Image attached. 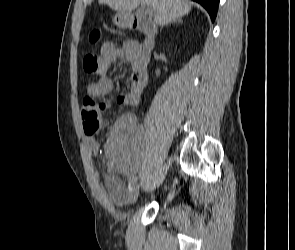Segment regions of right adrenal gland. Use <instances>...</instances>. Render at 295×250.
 <instances>
[{
	"label": "right adrenal gland",
	"instance_id": "1",
	"mask_svg": "<svg viewBox=\"0 0 295 250\" xmlns=\"http://www.w3.org/2000/svg\"><path fill=\"white\" fill-rule=\"evenodd\" d=\"M181 21H182L181 18H177L175 20L170 21L169 23H176V22L180 23Z\"/></svg>",
	"mask_w": 295,
	"mask_h": 250
}]
</instances>
